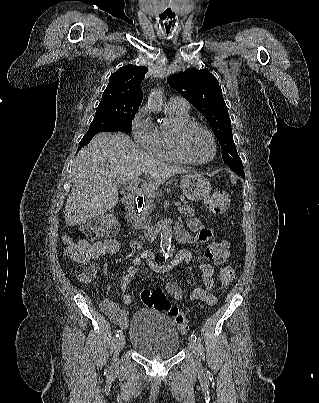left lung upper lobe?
<instances>
[{
    "label": "left lung upper lobe",
    "instance_id": "5c2ea615",
    "mask_svg": "<svg viewBox=\"0 0 319 403\" xmlns=\"http://www.w3.org/2000/svg\"><path fill=\"white\" fill-rule=\"evenodd\" d=\"M167 82L204 115L219 140L223 161L232 171L244 175L233 141L227 106L216 77L206 70L189 69L171 75Z\"/></svg>",
    "mask_w": 319,
    "mask_h": 403
}]
</instances>
